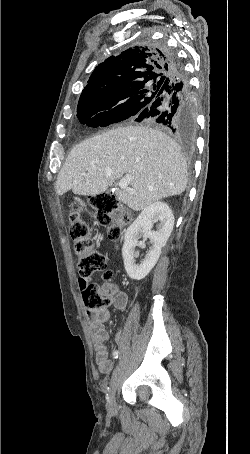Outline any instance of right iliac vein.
<instances>
[{"label": "right iliac vein", "instance_id": "1", "mask_svg": "<svg viewBox=\"0 0 250 454\" xmlns=\"http://www.w3.org/2000/svg\"><path fill=\"white\" fill-rule=\"evenodd\" d=\"M121 371H122V364H121V360H120L113 372L110 386L108 389L107 410L110 413L116 412V391L120 384Z\"/></svg>", "mask_w": 250, "mask_h": 454}]
</instances>
